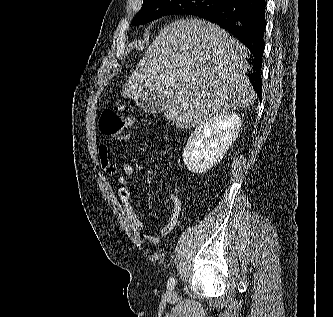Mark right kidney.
I'll list each match as a JSON object with an SVG mask.
<instances>
[{"mask_svg":"<svg viewBox=\"0 0 333 317\" xmlns=\"http://www.w3.org/2000/svg\"><path fill=\"white\" fill-rule=\"evenodd\" d=\"M241 125L239 115L225 113L197 127L182 154L187 169L200 174L220 162L238 137Z\"/></svg>","mask_w":333,"mask_h":317,"instance_id":"1","label":"right kidney"}]
</instances>
